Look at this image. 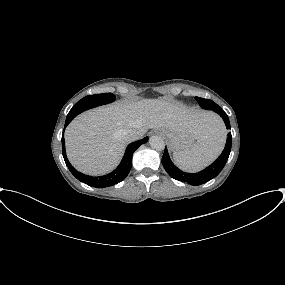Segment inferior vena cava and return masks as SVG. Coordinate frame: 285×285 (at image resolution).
<instances>
[{
	"label": "inferior vena cava",
	"instance_id": "inferior-vena-cava-1",
	"mask_svg": "<svg viewBox=\"0 0 285 285\" xmlns=\"http://www.w3.org/2000/svg\"><path fill=\"white\" fill-rule=\"evenodd\" d=\"M142 136H143V134L140 131H136V130H127L124 133V138L129 142L138 140V139L142 138Z\"/></svg>",
	"mask_w": 285,
	"mask_h": 285
}]
</instances>
